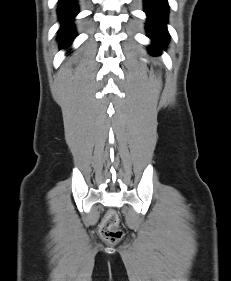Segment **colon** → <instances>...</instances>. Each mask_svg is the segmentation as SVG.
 <instances>
[{
	"label": "colon",
	"instance_id": "5ec220e1",
	"mask_svg": "<svg viewBox=\"0 0 231 281\" xmlns=\"http://www.w3.org/2000/svg\"><path fill=\"white\" fill-rule=\"evenodd\" d=\"M118 216L115 212H109L100 225L101 235L108 242H115L121 238L122 232L118 230Z\"/></svg>",
	"mask_w": 231,
	"mask_h": 281
}]
</instances>
